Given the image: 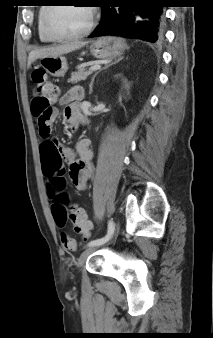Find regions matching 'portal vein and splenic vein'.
Listing matches in <instances>:
<instances>
[{
	"label": "portal vein and splenic vein",
	"mask_w": 213,
	"mask_h": 338,
	"mask_svg": "<svg viewBox=\"0 0 213 338\" xmlns=\"http://www.w3.org/2000/svg\"><path fill=\"white\" fill-rule=\"evenodd\" d=\"M100 68H101V66L98 65V64H96V65L91 66V67H90V70H91V71H94V70H98V69H100Z\"/></svg>",
	"instance_id": "1"
}]
</instances>
